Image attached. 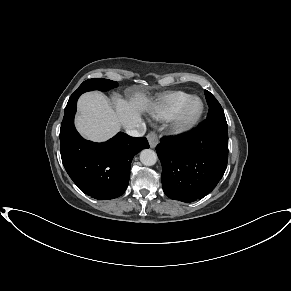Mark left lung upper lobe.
Returning a JSON list of instances; mask_svg holds the SVG:
<instances>
[{
    "label": "left lung upper lobe",
    "instance_id": "left-lung-upper-lobe-1",
    "mask_svg": "<svg viewBox=\"0 0 291 291\" xmlns=\"http://www.w3.org/2000/svg\"><path fill=\"white\" fill-rule=\"evenodd\" d=\"M205 96L209 106L207 118L225 117L224 111L217 99L207 90H205Z\"/></svg>",
    "mask_w": 291,
    "mask_h": 291
}]
</instances>
